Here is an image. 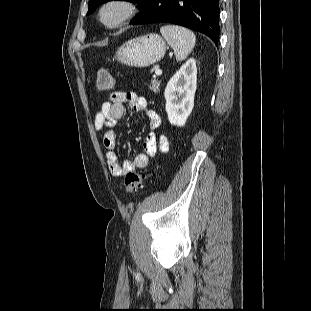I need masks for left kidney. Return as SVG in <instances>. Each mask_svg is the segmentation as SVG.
Masks as SVG:
<instances>
[{"label":"left kidney","mask_w":311,"mask_h":311,"mask_svg":"<svg viewBox=\"0 0 311 311\" xmlns=\"http://www.w3.org/2000/svg\"><path fill=\"white\" fill-rule=\"evenodd\" d=\"M197 84L195 59L184 63L167 83L164 96L166 112L172 125L184 126L194 107Z\"/></svg>","instance_id":"1"}]
</instances>
